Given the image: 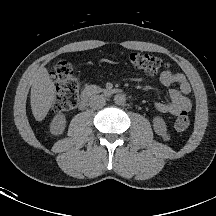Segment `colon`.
<instances>
[{
	"label": "colon",
	"instance_id": "1",
	"mask_svg": "<svg viewBox=\"0 0 216 216\" xmlns=\"http://www.w3.org/2000/svg\"><path fill=\"white\" fill-rule=\"evenodd\" d=\"M129 62L133 69L151 74L161 73L168 67V64L160 57L148 53H131ZM51 77L59 89L54 99L53 110L55 112H64L74 109L79 97L80 81L75 75L72 66L64 60L57 62ZM189 124V116L183 112L176 118L174 126L176 130L184 131Z\"/></svg>",
	"mask_w": 216,
	"mask_h": 216
}]
</instances>
